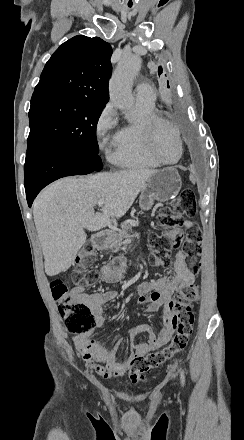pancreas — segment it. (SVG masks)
I'll return each mask as SVG.
<instances>
[{"mask_svg": "<svg viewBox=\"0 0 244 440\" xmlns=\"http://www.w3.org/2000/svg\"><path fill=\"white\" fill-rule=\"evenodd\" d=\"M129 234H127L126 230H120V232H109L108 234V246L110 250H119L120 244L124 238H128Z\"/></svg>", "mask_w": 244, "mask_h": 440, "instance_id": "pancreas-1", "label": "pancreas"}]
</instances>
